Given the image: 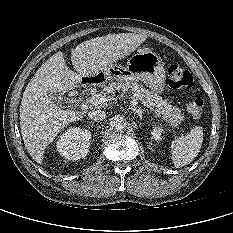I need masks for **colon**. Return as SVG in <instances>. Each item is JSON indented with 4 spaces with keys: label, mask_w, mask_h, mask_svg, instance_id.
I'll use <instances>...</instances> for the list:
<instances>
[{
    "label": "colon",
    "mask_w": 233,
    "mask_h": 233,
    "mask_svg": "<svg viewBox=\"0 0 233 233\" xmlns=\"http://www.w3.org/2000/svg\"><path fill=\"white\" fill-rule=\"evenodd\" d=\"M169 85L174 89L191 87L194 84L192 74L178 64H172L168 68ZM188 113L198 118L201 116L204 108V100L201 97L192 99L187 104Z\"/></svg>",
    "instance_id": "5ec220e1"
}]
</instances>
